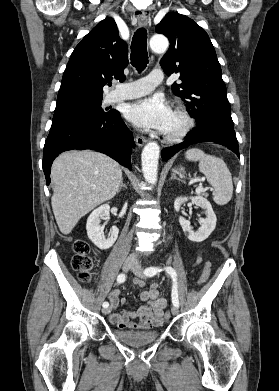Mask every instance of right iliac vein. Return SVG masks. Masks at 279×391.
I'll return each instance as SVG.
<instances>
[{
  "label": "right iliac vein",
  "instance_id": "obj_1",
  "mask_svg": "<svg viewBox=\"0 0 279 391\" xmlns=\"http://www.w3.org/2000/svg\"><path fill=\"white\" fill-rule=\"evenodd\" d=\"M134 263H135V260H134L133 257H131V256L127 257V258L124 260V262H123V266H122L123 271H124V272L129 271V270L133 267ZM110 312H111V307H107V308H104V309L102 310V313L105 314V315H106V314H109Z\"/></svg>",
  "mask_w": 279,
  "mask_h": 391
}]
</instances>
